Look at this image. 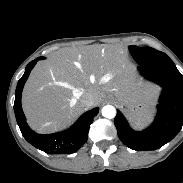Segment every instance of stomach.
<instances>
[{
	"mask_svg": "<svg viewBox=\"0 0 183 183\" xmlns=\"http://www.w3.org/2000/svg\"><path fill=\"white\" fill-rule=\"evenodd\" d=\"M144 99L146 98H141L134 102H127L118 98V101L122 106L127 107L126 111L133 120L140 121L143 120L147 115V104H145Z\"/></svg>",
	"mask_w": 183,
	"mask_h": 183,
	"instance_id": "0dacf381",
	"label": "stomach"
}]
</instances>
